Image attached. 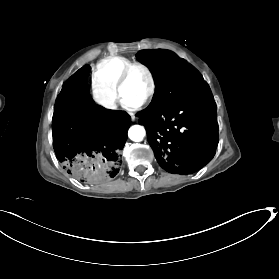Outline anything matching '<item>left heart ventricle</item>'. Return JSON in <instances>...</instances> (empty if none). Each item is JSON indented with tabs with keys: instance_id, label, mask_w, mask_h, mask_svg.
Returning a JSON list of instances; mask_svg holds the SVG:
<instances>
[{
	"instance_id": "b2bd125f",
	"label": "left heart ventricle",
	"mask_w": 279,
	"mask_h": 279,
	"mask_svg": "<svg viewBox=\"0 0 279 279\" xmlns=\"http://www.w3.org/2000/svg\"><path fill=\"white\" fill-rule=\"evenodd\" d=\"M150 81L147 74L141 69H134L127 80L122 99L127 103H140L147 95Z\"/></svg>"
}]
</instances>
